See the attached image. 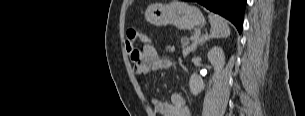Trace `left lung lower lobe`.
Instances as JSON below:
<instances>
[{
  "label": "left lung lower lobe",
  "mask_w": 305,
  "mask_h": 116,
  "mask_svg": "<svg viewBox=\"0 0 305 116\" xmlns=\"http://www.w3.org/2000/svg\"><path fill=\"white\" fill-rule=\"evenodd\" d=\"M207 9L220 14L221 16L230 20L238 29L239 33L242 31L243 15L246 0H193Z\"/></svg>",
  "instance_id": "obj_1"
}]
</instances>
